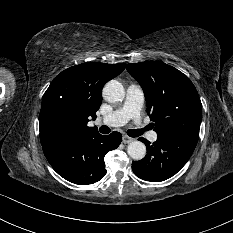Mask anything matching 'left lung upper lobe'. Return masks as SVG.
<instances>
[{"label": "left lung upper lobe", "mask_w": 233, "mask_h": 233, "mask_svg": "<svg viewBox=\"0 0 233 233\" xmlns=\"http://www.w3.org/2000/svg\"><path fill=\"white\" fill-rule=\"evenodd\" d=\"M126 68L144 90L147 113L158 137L199 138L201 101L186 75L157 61L130 63Z\"/></svg>", "instance_id": "obj_1"}]
</instances>
